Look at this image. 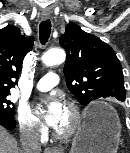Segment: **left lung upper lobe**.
<instances>
[{"label": "left lung upper lobe", "mask_w": 130, "mask_h": 153, "mask_svg": "<svg viewBox=\"0 0 130 153\" xmlns=\"http://www.w3.org/2000/svg\"><path fill=\"white\" fill-rule=\"evenodd\" d=\"M59 43L67 52V87L81 104L105 97L125 99L122 66L108 44L75 23L66 26Z\"/></svg>", "instance_id": "5c2ea615"}]
</instances>
